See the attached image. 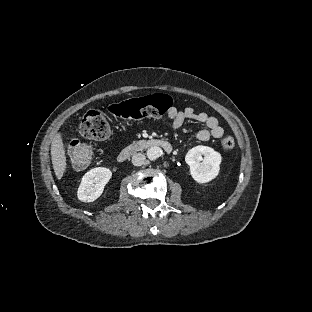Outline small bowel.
Wrapping results in <instances>:
<instances>
[{"label": "small bowel", "instance_id": "obj_1", "mask_svg": "<svg viewBox=\"0 0 312 312\" xmlns=\"http://www.w3.org/2000/svg\"><path fill=\"white\" fill-rule=\"evenodd\" d=\"M166 116L170 128L174 131L180 130L188 120L204 124L206 128L200 130L196 135L199 141H207L210 138L218 139L224 134V129L217 118L205 112L196 111L193 107L179 109L175 106H171Z\"/></svg>", "mask_w": 312, "mask_h": 312}]
</instances>
